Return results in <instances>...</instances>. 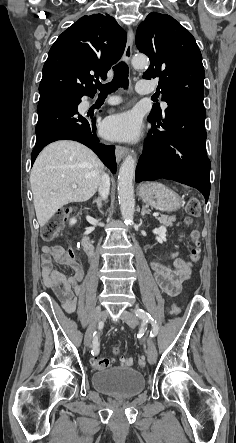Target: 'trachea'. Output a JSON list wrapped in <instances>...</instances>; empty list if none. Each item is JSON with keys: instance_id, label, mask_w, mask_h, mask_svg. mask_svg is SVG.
Masks as SVG:
<instances>
[{"instance_id": "1", "label": "trachea", "mask_w": 236, "mask_h": 443, "mask_svg": "<svg viewBox=\"0 0 236 443\" xmlns=\"http://www.w3.org/2000/svg\"><path fill=\"white\" fill-rule=\"evenodd\" d=\"M113 70L114 77L110 83L101 84L100 82H96V86L100 90L99 96L106 97L108 94L115 92L120 87L124 89L128 88V65L125 62H120L113 67Z\"/></svg>"}]
</instances>
